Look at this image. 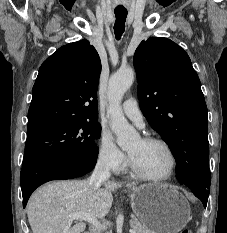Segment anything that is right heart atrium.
Listing matches in <instances>:
<instances>
[{
  "mask_svg": "<svg viewBox=\"0 0 227 233\" xmlns=\"http://www.w3.org/2000/svg\"><path fill=\"white\" fill-rule=\"evenodd\" d=\"M99 164L112 172H120L126 165V155L116 145L114 138L107 131H101L97 143Z\"/></svg>",
  "mask_w": 227,
  "mask_h": 233,
  "instance_id": "d8ad5b80",
  "label": "right heart atrium"
}]
</instances>
